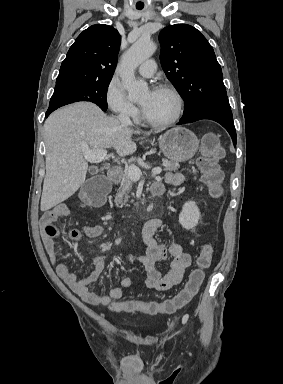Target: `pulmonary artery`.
Instances as JSON below:
<instances>
[{
	"instance_id": "1",
	"label": "pulmonary artery",
	"mask_w": 283,
	"mask_h": 384,
	"mask_svg": "<svg viewBox=\"0 0 283 384\" xmlns=\"http://www.w3.org/2000/svg\"><path fill=\"white\" fill-rule=\"evenodd\" d=\"M156 71L154 61L142 62L138 67V73L142 76H152Z\"/></svg>"
}]
</instances>
